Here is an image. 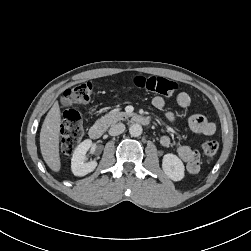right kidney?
<instances>
[{
  "label": "right kidney",
  "instance_id": "right-kidney-1",
  "mask_svg": "<svg viewBox=\"0 0 251 251\" xmlns=\"http://www.w3.org/2000/svg\"><path fill=\"white\" fill-rule=\"evenodd\" d=\"M92 146V141L90 139H86L81 142L73 152V156L71 159V170L75 176H85L88 173L94 171L97 166V162L95 160L85 162L86 161V152Z\"/></svg>",
  "mask_w": 251,
  "mask_h": 251
}]
</instances>
